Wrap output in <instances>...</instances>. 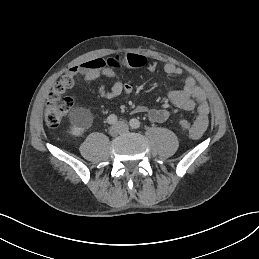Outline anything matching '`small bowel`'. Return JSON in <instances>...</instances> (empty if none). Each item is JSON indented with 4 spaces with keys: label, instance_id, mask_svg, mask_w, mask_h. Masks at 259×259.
Returning <instances> with one entry per match:
<instances>
[{
    "label": "small bowel",
    "instance_id": "small-bowel-1",
    "mask_svg": "<svg viewBox=\"0 0 259 259\" xmlns=\"http://www.w3.org/2000/svg\"><path fill=\"white\" fill-rule=\"evenodd\" d=\"M146 68L154 72L157 68L156 62H150L147 57L129 53L124 56H113L107 59L97 58L87 61L81 65L69 69L67 75L75 76L83 81H92L100 77H106L113 80L110 88L100 85L98 88L99 95L104 99H114L121 95L129 97L133 93V87L129 83L122 82L116 69L119 68ZM164 72L168 75H182L183 70L172 64L167 63L163 67ZM169 101L179 109L185 111L197 110V116L190 135L193 138H199L205 132L209 123V105L207 97L202 88L196 85L191 76L184 79V86L180 90H173L168 93ZM138 113H145L148 118L157 123L166 121L169 112L165 109H153L145 106H139L135 109Z\"/></svg>",
    "mask_w": 259,
    "mask_h": 259
}]
</instances>
